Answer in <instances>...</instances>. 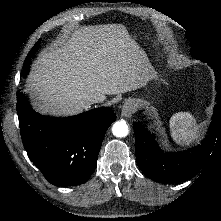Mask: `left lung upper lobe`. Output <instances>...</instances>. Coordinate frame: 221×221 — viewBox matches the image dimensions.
I'll return each instance as SVG.
<instances>
[{"mask_svg":"<svg viewBox=\"0 0 221 221\" xmlns=\"http://www.w3.org/2000/svg\"><path fill=\"white\" fill-rule=\"evenodd\" d=\"M186 36L188 40L193 44L192 51H191L192 56L196 59H200L201 61L206 62L207 58L203 49L198 44L193 43L194 41L191 39V37L187 33H186Z\"/></svg>","mask_w":221,"mask_h":221,"instance_id":"1","label":"left lung upper lobe"}]
</instances>
